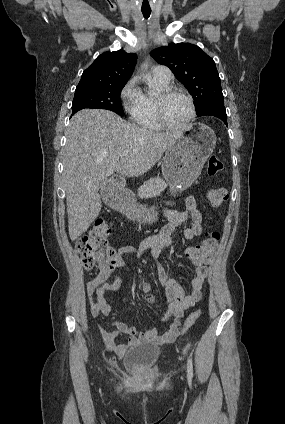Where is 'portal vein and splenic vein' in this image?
<instances>
[{"mask_svg":"<svg viewBox=\"0 0 285 424\" xmlns=\"http://www.w3.org/2000/svg\"><path fill=\"white\" fill-rule=\"evenodd\" d=\"M128 153H129L128 151H125V152L122 153V156H127Z\"/></svg>","mask_w":285,"mask_h":424,"instance_id":"portal-vein-and-splenic-vein-1","label":"portal vein and splenic vein"}]
</instances>
